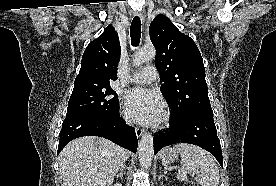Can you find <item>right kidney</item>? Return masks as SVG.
<instances>
[{"label":"right kidney","instance_id":"obj_1","mask_svg":"<svg viewBox=\"0 0 276 186\" xmlns=\"http://www.w3.org/2000/svg\"><path fill=\"white\" fill-rule=\"evenodd\" d=\"M113 186H122V184L121 183H116Z\"/></svg>","mask_w":276,"mask_h":186}]
</instances>
